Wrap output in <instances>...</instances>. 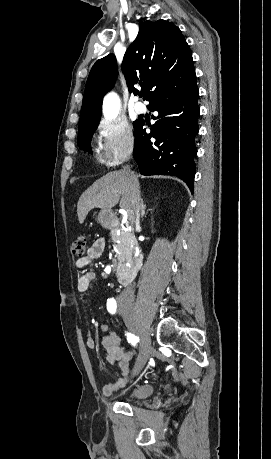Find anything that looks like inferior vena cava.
<instances>
[{
  "instance_id": "1",
  "label": "inferior vena cava",
  "mask_w": 271,
  "mask_h": 459,
  "mask_svg": "<svg viewBox=\"0 0 271 459\" xmlns=\"http://www.w3.org/2000/svg\"><path fill=\"white\" fill-rule=\"evenodd\" d=\"M124 172H130V170H126L125 168ZM135 180H137V178H135ZM140 212H142V210L140 204L139 184H137L136 182V184H134L132 210L130 212L129 220H131V222H134V224H139ZM121 297H123V299H127V301H134L133 285H127L124 291H122Z\"/></svg>"
}]
</instances>
